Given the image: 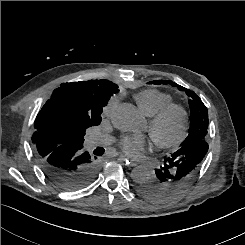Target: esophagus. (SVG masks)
<instances>
[{"label": "esophagus", "mask_w": 245, "mask_h": 245, "mask_svg": "<svg viewBox=\"0 0 245 245\" xmlns=\"http://www.w3.org/2000/svg\"><path fill=\"white\" fill-rule=\"evenodd\" d=\"M119 160L120 161H123L125 163V166L127 167H133L135 166L136 164L134 162H132L129 158L123 156V155H120L119 156Z\"/></svg>", "instance_id": "1"}]
</instances>
